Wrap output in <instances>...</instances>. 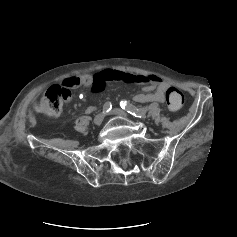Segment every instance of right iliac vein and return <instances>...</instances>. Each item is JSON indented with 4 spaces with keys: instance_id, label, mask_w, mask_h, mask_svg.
<instances>
[{
    "instance_id": "1",
    "label": "right iliac vein",
    "mask_w": 237,
    "mask_h": 237,
    "mask_svg": "<svg viewBox=\"0 0 237 237\" xmlns=\"http://www.w3.org/2000/svg\"><path fill=\"white\" fill-rule=\"evenodd\" d=\"M103 119H104V115L102 114V113H98L96 116H95V118H94V124L95 125H100L101 123H102V121H103Z\"/></svg>"
}]
</instances>
